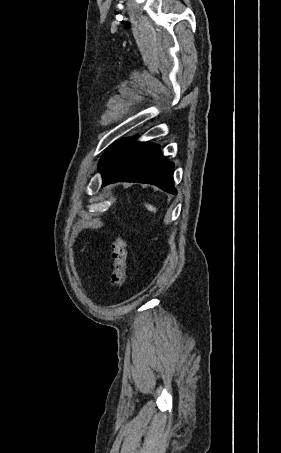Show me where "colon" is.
<instances>
[{"label": "colon", "instance_id": "obj_1", "mask_svg": "<svg viewBox=\"0 0 281 453\" xmlns=\"http://www.w3.org/2000/svg\"><path fill=\"white\" fill-rule=\"evenodd\" d=\"M113 265L110 276L112 289L121 290L126 283L128 252L127 245L123 238L116 237L112 242Z\"/></svg>", "mask_w": 281, "mask_h": 453}]
</instances>
